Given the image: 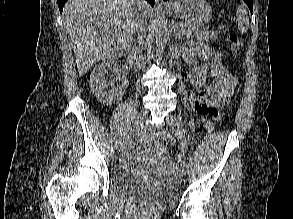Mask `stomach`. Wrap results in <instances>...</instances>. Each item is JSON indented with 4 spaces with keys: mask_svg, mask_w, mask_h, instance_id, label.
I'll use <instances>...</instances> for the list:
<instances>
[{
    "mask_svg": "<svg viewBox=\"0 0 293 219\" xmlns=\"http://www.w3.org/2000/svg\"><path fill=\"white\" fill-rule=\"evenodd\" d=\"M165 10L198 27L207 24L212 16L211 6L205 0H177L168 4Z\"/></svg>",
    "mask_w": 293,
    "mask_h": 219,
    "instance_id": "stomach-1",
    "label": "stomach"
}]
</instances>
